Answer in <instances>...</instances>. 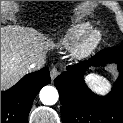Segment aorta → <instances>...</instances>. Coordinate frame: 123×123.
I'll return each instance as SVG.
<instances>
[{
  "mask_svg": "<svg viewBox=\"0 0 123 123\" xmlns=\"http://www.w3.org/2000/svg\"><path fill=\"white\" fill-rule=\"evenodd\" d=\"M40 101L45 105H53L58 101V91L53 86H45L40 91Z\"/></svg>",
  "mask_w": 123,
  "mask_h": 123,
  "instance_id": "762f6f07",
  "label": "aorta"
}]
</instances>
